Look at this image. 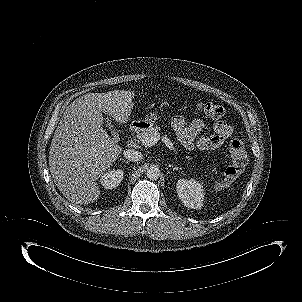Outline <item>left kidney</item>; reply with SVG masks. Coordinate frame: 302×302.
Wrapping results in <instances>:
<instances>
[{"mask_svg": "<svg viewBox=\"0 0 302 302\" xmlns=\"http://www.w3.org/2000/svg\"><path fill=\"white\" fill-rule=\"evenodd\" d=\"M176 191L184 205L191 209H201L203 206L204 189L202 184L195 179H179Z\"/></svg>", "mask_w": 302, "mask_h": 302, "instance_id": "1", "label": "left kidney"}]
</instances>
